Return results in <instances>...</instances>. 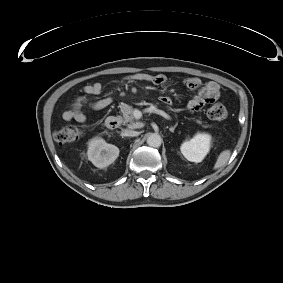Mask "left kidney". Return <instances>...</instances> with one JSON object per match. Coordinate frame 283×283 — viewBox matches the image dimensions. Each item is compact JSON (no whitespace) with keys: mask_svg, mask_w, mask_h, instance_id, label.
<instances>
[{"mask_svg":"<svg viewBox=\"0 0 283 283\" xmlns=\"http://www.w3.org/2000/svg\"><path fill=\"white\" fill-rule=\"evenodd\" d=\"M211 136L206 133H197L191 140L185 141L181 147L183 156L191 161L201 162L210 150Z\"/></svg>","mask_w":283,"mask_h":283,"instance_id":"5707ae66","label":"left kidney"}]
</instances>
